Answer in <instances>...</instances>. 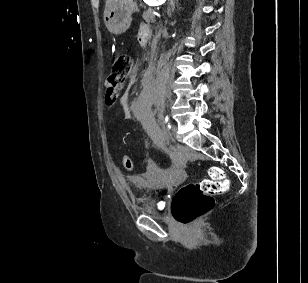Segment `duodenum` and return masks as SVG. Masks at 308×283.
<instances>
[{
	"label": "duodenum",
	"instance_id": "duodenum-1",
	"mask_svg": "<svg viewBox=\"0 0 308 283\" xmlns=\"http://www.w3.org/2000/svg\"><path fill=\"white\" fill-rule=\"evenodd\" d=\"M147 38H148V32H147V30H145L142 34V37H141L142 42H145L147 40Z\"/></svg>",
	"mask_w": 308,
	"mask_h": 283
}]
</instances>
